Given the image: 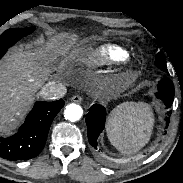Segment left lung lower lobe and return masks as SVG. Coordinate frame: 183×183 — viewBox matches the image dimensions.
<instances>
[{
    "label": "left lung lower lobe",
    "instance_id": "left-lung-lower-lobe-1",
    "mask_svg": "<svg viewBox=\"0 0 183 183\" xmlns=\"http://www.w3.org/2000/svg\"><path fill=\"white\" fill-rule=\"evenodd\" d=\"M156 97L161 99L164 105L169 108L174 99V85L168 78H163L158 83ZM106 110L101 105H93L86 115L89 143L97 148V139L105 126Z\"/></svg>",
    "mask_w": 183,
    "mask_h": 183
}]
</instances>
